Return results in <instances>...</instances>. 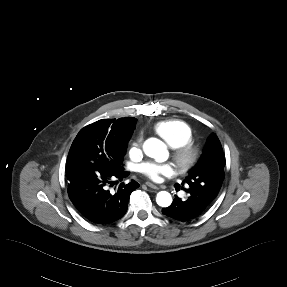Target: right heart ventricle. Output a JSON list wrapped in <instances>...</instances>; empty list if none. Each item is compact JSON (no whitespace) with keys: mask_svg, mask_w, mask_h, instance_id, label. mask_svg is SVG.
I'll list each match as a JSON object with an SVG mask.
<instances>
[{"mask_svg":"<svg viewBox=\"0 0 287 287\" xmlns=\"http://www.w3.org/2000/svg\"><path fill=\"white\" fill-rule=\"evenodd\" d=\"M154 132L172 149H176L193 139L190 125L181 119L159 121L153 126Z\"/></svg>","mask_w":287,"mask_h":287,"instance_id":"e07e8e85","label":"right heart ventricle"}]
</instances>
